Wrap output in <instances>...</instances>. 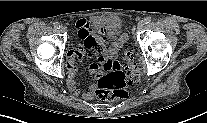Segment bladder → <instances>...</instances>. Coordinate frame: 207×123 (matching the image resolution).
Listing matches in <instances>:
<instances>
[{"label":"bladder","mask_w":207,"mask_h":123,"mask_svg":"<svg viewBox=\"0 0 207 123\" xmlns=\"http://www.w3.org/2000/svg\"><path fill=\"white\" fill-rule=\"evenodd\" d=\"M122 22L118 17H105L97 25L104 31L107 44L115 48L121 41Z\"/></svg>","instance_id":"31cf9c89"}]
</instances>
